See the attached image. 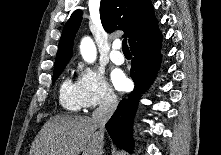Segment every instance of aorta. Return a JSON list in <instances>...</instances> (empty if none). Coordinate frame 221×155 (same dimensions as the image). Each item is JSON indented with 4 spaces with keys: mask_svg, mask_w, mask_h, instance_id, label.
Returning <instances> with one entry per match:
<instances>
[{
    "mask_svg": "<svg viewBox=\"0 0 221 155\" xmlns=\"http://www.w3.org/2000/svg\"><path fill=\"white\" fill-rule=\"evenodd\" d=\"M80 52L86 62L93 63L95 61L97 51L91 38L86 37L81 41Z\"/></svg>",
    "mask_w": 221,
    "mask_h": 155,
    "instance_id": "obj_1",
    "label": "aorta"
}]
</instances>
